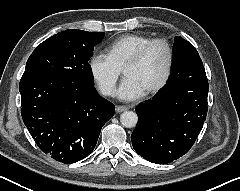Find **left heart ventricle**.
Masks as SVG:
<instances>
[{
  "label": "left heart ventricle",
  "instance_id": "left-heart-ventricle-1",
  "mask_svg": "<svg viewBox=\"0 0 240 191\" xmlns=\"http://www.w3.org/2000/svg\"><path fill=\"white\" fill-rule=\"evenodd\" d=\"M167 59L166 47L161 43L155 44L139 64L125 70L124 76L133 78L145 93L162 79Z\"/></svg>",
  "mask_w": 240,
  "mask_h": 191
}]
</instances>
